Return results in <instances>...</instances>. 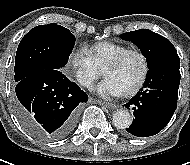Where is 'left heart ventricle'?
<instances>
[{"label":"left heart ventricle","mask_w":190,"mask_h":165,"mask_svg":"<svg viewBox=\"0 0 190 165\" xmlns=\"http://www.w3.org/2000/svg\"><path fill=\"white\" fill-rule=\"evenodd\" d=\"M142 60L137 55L129 56L120 66L104 71V76L113 80L124 92L134 86L141 77Z\"/></svg>","instance_id":"b2bd125f"}]
</instances>
